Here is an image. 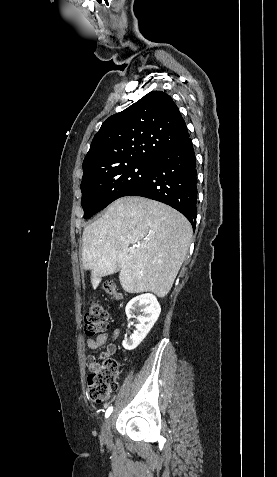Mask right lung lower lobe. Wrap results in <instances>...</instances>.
I'll list each match as a JSON object with an SVG mask.
<instances>
[{
	"label": "right lung lower lobe",
	"mask_w": 277,
	"mask_h": 477,
	"mask_svg": "<svg viewBox=\"0 0 277 477\" xmlns=\"http://www.w3.org/2000/svg\"><path fill=\"white\" fill-rule=\"evenodd\" d=\"M125 196H142L170 205L195 229L197 170L191 138L155 159L146 177Z\"/></svg>",
	"instance_id": "right-lung-lower-lobe-1"
}]
</instances>
